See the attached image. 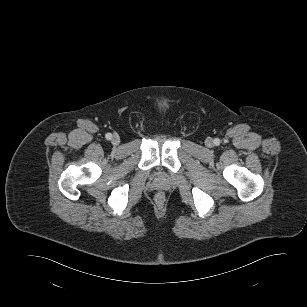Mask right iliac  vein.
I'll return each mask as SVG.
<instances>
[{
  "mask_svg": "<svg viewBox=\"0 0 307 307\" xmlns=\"http://www.w3.org/2000/svg\"><path fill=\"white\" fill-rule=\"evenodd\" d=\"M119 142H120L119 137H118V136H113V138H112V144L118 145Z\"/></svg>",
  "mask_w": 307,
  "mask_h": 307,
  "instance_id": "63e3f726",
  "label": "right iliac vein"
}]
</instances>
